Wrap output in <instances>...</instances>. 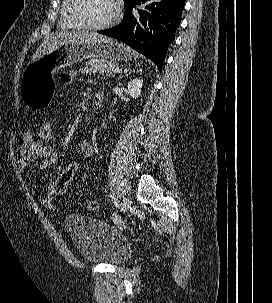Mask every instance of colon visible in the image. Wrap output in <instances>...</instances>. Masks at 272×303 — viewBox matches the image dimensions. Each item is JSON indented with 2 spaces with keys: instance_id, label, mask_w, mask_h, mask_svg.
I'll return each instance as SVG.
<instances>
[{
  "instance_id": "5ec220e1",
  "label": "colon",
  "mask_w": 272,
  "mask_h": 303,
  "mask_svg": "<svg viewBox=\"0 0 272 303\" xmlns=\"http://www.w3.org/2000/svg\"><path fill=\"white\" fill-rule=\"evenodd\" d=\"M56 123L53 118L47 117L40 123L37 130V140L45 145H51L55 139ZM80 168L77 158H72L67 166L61 171L56 180L53 182L55 194L61 196L66 193L69 184L74 179ZM90 211H95L98 204L95 200H90L87 205Z\"/></svg>"
}]
</instances>
